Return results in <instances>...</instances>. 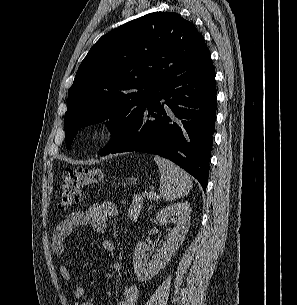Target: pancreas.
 Here are the masks:
<instances>
[{"label": "pancreas", "instance_id": "obj_1", "mask_svg": "<svg viewBox=\"0 0 297 305\" xmlns=\"http://www.w3.org/2000/svg\"><path fill=\"white\" fill-rule=\"evenodd\" d=\"M143 203V197L136 195L132 199V204L128 209V216L131 220L136 221L140 215L141 208Z\"/></svg>", "mask_w": 297, "mask_h": 305}]
</instances>
